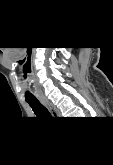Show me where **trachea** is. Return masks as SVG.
Returning <instances> with one entry per match:
<instances>
[{"label":"trachea","mask_w":113,"mask_h":165,"mask_svg":"<svg viewBox=\"0 0 113 165\" xmlns=\"http://www.w3.org/2000/svg\"><path fill=\"white\" fill-rule=\"evenodd\" d=\"M34 113L39 117H51L49 111L38 100H27Z\"/></svg>","instance_id":"trachea-1"}]
</instances>
